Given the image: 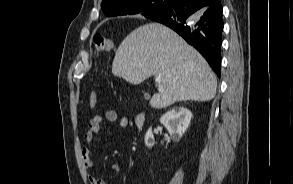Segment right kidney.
<instances>
[{"label": "right kidney", "mask_w": 293, "mask_h": 184, "mask_svg": "<svg viewBox=\"0 0 293 184\" xmlns=\"http://www.w3.org/2000/svg\"><path fill=\"white\" fill-rule=\"evenodd\" d=\"M191 118V111L179 107L166 112L160 118V123L166 127L173 141H179L188 129ZM144 141L149 148L154 145V135L151 128L147 130Z\"/></svg>", "instance_id": "obj_1"}]
</instances>
